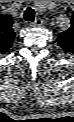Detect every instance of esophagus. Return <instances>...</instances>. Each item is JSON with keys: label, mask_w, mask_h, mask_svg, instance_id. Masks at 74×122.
I'll return each instance as SVG.
<instances>
[{"label": "esophagus", "mask_w": 74, "mask_h": 122, "mask_svg": "<svg viewBox=\"0 0 74 122\" xmlns=\"http://www.w3.org/2000/svg\"><path fill=\"white\" fill-rule=\"evenodd\" d=\"M42 24H43V21L40 18H37L31 25L35 27H40Z\"/></svg>", "instance_id": "obj_1"}]
</instances>
